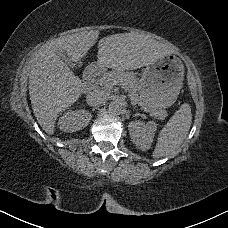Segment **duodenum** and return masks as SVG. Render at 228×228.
<instances>
[{"instance_id": "obj_1", "label": "duodenum", "mask_w": 228, "mask_h": 228, "mask_svg": "<svg viewBox=\"0 0 228 228\" xmlns=\"http://www.w3.org/2000/svg\"><path fill=\"white\" fill-rule=\"evenodd\" d=\"M99 74V67L97 65H90L85 69V73L81 75V82L83 84H90L92 78Z\"/></svg>"}]
</instances>
